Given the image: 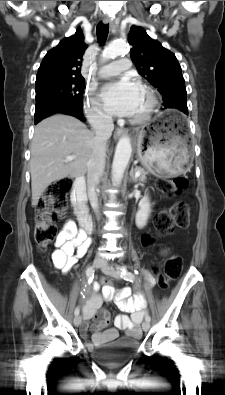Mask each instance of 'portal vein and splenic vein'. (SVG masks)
<instances>
[{
  "instance_id": "portal-vein-and-splenic-vein-1",
  "label": "portal vein and splenic vein",
  "mask_w": 225,
  "mask_h": 395,
  "mask_svg": "<svg viewBox=\"0 0 225 395\" xmlns=\"http://www.w3.org/2000/svg\"><path fill=\"white\" fill-rule=\"evenodd\" d=\"M74 158H75L74 156H67L64 161L65 162H70V161L74 160ZM135 176L139 177L140 176V171H136Z\"/></svg>"
}]
</instances>
